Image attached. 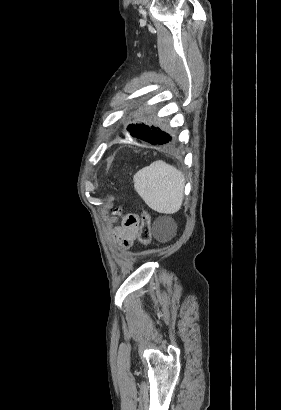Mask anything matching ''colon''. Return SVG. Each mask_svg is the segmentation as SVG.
<instances>
[{
    "instance_id": "5ec220e1",
    "label": "colon",
    "mask_w": 281,
    "mask_h": 410,
    "mask_svg": "<svg viewBox=\"0 0 281 410\" xmlns=\"http://www.w3.org/2000/svg\"><path fill=\"white\" fill-rule=\"evenodd\" d=\"M131 222H137L139 226L138 240L140 244L147 247L151 243L150 216L146 211H142L140 216L130 215Z\"/></svg>"
}]
</instances>
